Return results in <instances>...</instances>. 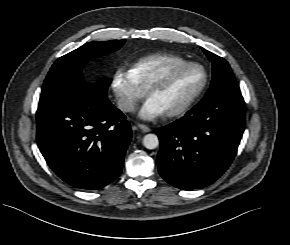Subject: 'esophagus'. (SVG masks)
I'll use <instances>...</instances> for the list:
<instances>
[{
  "mask_svg": "<svg viewBox=\"0 0 290 245\" xmlns=\"http://www.w3.org/2000/svg\"><path fill=\"white\" fill-rule=\"evenodd\" d=\"M138 127L143 131V132H149L150 128L144 124H138Z\"/></svg>",
  "mask_w": 290,
  "mask_h": 245,
  "instance_id": "obj_1",
  "label": "esophagus"
}]
</instances>
